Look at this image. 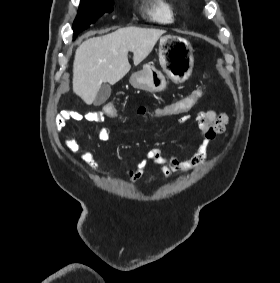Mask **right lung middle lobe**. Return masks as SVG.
<instances>
[{
  "label": "right lung middle lobe",
  "mask_w": 280,
  "mask_h": 283,
  "mask_svg": "<svg viewBox=\"0 0 280 283\" xmlns=\"http://www.w3.org/2000/svg\"><path fill=\"white\" fill-rule=\"evenodd\" d=\"M113 0H81L78 15L73 24L74 36L87 29L98 17L111 12Z\"/></svg>",
  "instance_id": "obj_1"
}]
</instances>
